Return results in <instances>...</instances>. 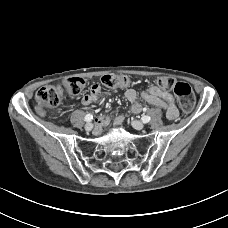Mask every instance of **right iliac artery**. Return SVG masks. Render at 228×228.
<instances>
[{
  "label": "right iliac artery",
  "instance_id": "obj_1",
  "mask_svg": "<svg viewBox=\"0 0 228 228\" xmlns=\"http://www.w3.org/2000/svg\"><path fill=\"white\" fill-rule=\"evenodd\" d=\"M93 119V115L92 114H87L84 118L85 121L89 122Z\"/></svg>",
  "mask_w": 228,
  "mask_h": 228
}]
</instances>
